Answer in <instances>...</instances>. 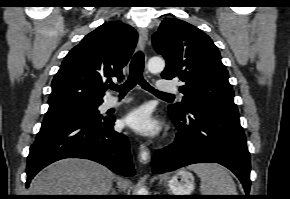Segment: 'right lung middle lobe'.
<instances>
[{
    "mask_svg": "<svg viewBox=\"0 0 290 199\" xmlns=\"http://www.w3.org/2000/svg\"><path fill=\"white\" fill-rule=\"evenodd\" d=\"M98 106L99 105H94L64 113L45 115L43 123L103 119L102 115L97 110Z\"/></svg>",
    "mask_w": 290,
    "mask_h": 199,
    "instance_id": "right-lung-middle-lobe-1",
    "label": "right lung middle lobe"
}]
</instances>
